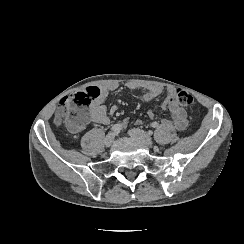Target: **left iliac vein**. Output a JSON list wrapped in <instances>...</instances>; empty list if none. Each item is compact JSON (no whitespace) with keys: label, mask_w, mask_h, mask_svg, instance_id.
<instances>
[{"label":"left iliac vein","mask_w":244,"mask_h":244,"mask_svg":"<svg viewBox=\"0 0 244 244\" xmlns=\"http://www.w3.org/2000/svg\"><path fill=\"white\" fill-rule=\"evenodd\" d=\"M129 134L132 138L138 140L147 147H151L153 144L152 138L143 130L133 128L129 131Z\"/></svg>","instance_id":"left-iliac-vein-1"}]
</instances>
